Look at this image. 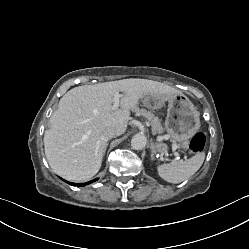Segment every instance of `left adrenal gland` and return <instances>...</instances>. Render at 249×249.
Masks as SVG:
<instances>
[{
    "label": "left adrenal gland",
    "instance_id": "left-adrenal-gland-1",
    "mask_svg": "<svg viewBox=\"0 0 249 249\" xmlns=\"http://www.w3.org/2000/svg\"><path fill=\"white\" fill-rule=\"evenodd\" d=\"M154 153H155V150L152 149V153H151V159L154 160Z\"/></svg>",
    "mask_w": 249,
    "mask_h": 249
}]
</instances>
